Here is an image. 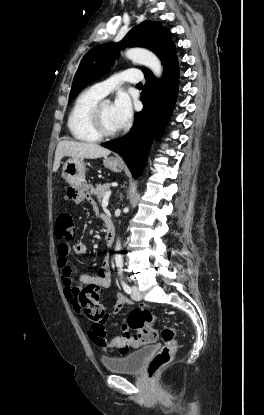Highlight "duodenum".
Returning <instances> with one entry per match:
<instances>
[{"label":"duodenum","mask_w":264,"mask_h":415,"mask_svg":"<svg viewBox=\"0 0 264 415\" xmlns=\"http://www.w3.org/2000/svg\"><path fill=\"white\" fill-rule=\"evenodd\" d=\"M115 240V229L113 222L109 216L105 218V242L108 246H112Z\"/></svg>","instance_id":"obj_1"}]
</instances>
